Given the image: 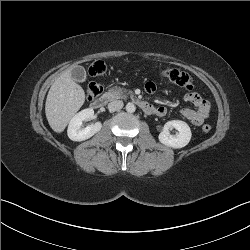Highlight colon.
I'll return each instance as SVG.
<instances>
[{"mask_svg": "<svg viewBox=\"0 0 250 250\" xmlns=\"http://www.w3.org/2000/svg\"><path fill=\"white\" fill-rule=\"evenodd\" d=\"M89 75L96 77L102 76L106 72V65L103 61H95L93 62L88 69ZM161 76L182 88L187 90L193 89V79L190 75L185 72H182L178 69H165L161 72ZM103 87L100 83L93 82L88 86L87 96L89 100H94L100 96L102 93ZM202 130L207 133L211 130V126L209 124H204L202 126Z\"/></svg>", "mask_w": 250, "mask_h": 250, "instance_id": "1", "label": "colon"}]
</instances>
